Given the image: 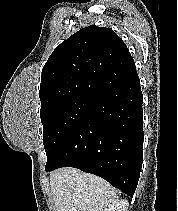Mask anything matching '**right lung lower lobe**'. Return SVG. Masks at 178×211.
<instances>
[{"label": "right lung lower lobe", "instance_id": "1", "mask_svg": "<svg viewBox=\"0 0 178 211\" xmlns=\"http://www.w3.org/2000/svg\"><path fill=\"white\" fill-rule=\"evenodd\" d=\"M142 103L138 75L98 98L49 155L45 170L78 168L133 197L143 161Z\"/></svg>", "mask_w": 178, "mask_h": 211}]
</instances>
